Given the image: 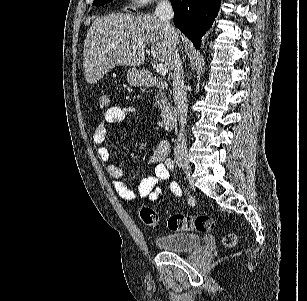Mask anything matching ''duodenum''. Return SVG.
Returning <instances> with one entry per match:
<instances>
[{
    "label": "duodenum",
    "mask_w": 307,
    "mask_h": 301,
    "mask_svg": "<svg viewBox=\"0 0 307 301\" xmlns=\"http://www.w3.org/2000/svg\"><path fill=\"white\" fill-rule=\"evenodd\" d=\"M142 81L146 86H155L162 90H166L168 84L164 80L157 79L149 74H143ZM161 124L166 130L174 127L176 122V113L171 104H165L161 110Z\"/></svg>",
    "instance_id": "duodenum-1"
}]
</instances>
